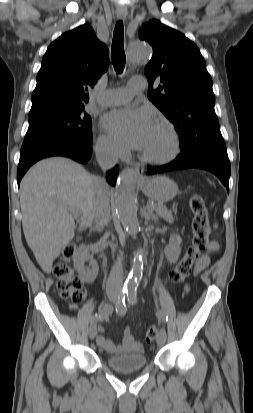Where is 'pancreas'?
<instances>
[{
	"label": "pancreas",
	"instance_id": "obj_1",
	"mask_svg": "<svg viewBox=\"0 0 253 413\" xmlns=\"http://www.w3.org/2000/svg\"><path fill=\"white\" fill-rule=\"evenodd\" d=\"M154 209L159 217L163 218L168 223H173L174 218L172 212L168 210L163 204L154 205Z\"/></svg>",
	"mask_w": 253,
	"mask_h": 413
}]
</instances>
